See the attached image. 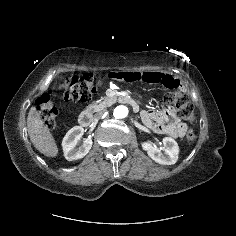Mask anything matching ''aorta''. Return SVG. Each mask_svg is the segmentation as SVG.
Here are the masks:
<instances>
[{
	"instance_id": "obj_1",
	"label": "aorta",
	"mask_w": 236,
	"mask_h": 236,
	"mask_svg": "<svg viewBox=\"0 0 236 236\" xmlns=\"http://www.w3.org/2000/svg\"><path fill=\"white\" fill-rule=\"evenodd\" d=\"M129 114V109L125 105H119L115 107L113 111V116L116 119H124L128 116Z\"/></svg>"
}]
</instances>
